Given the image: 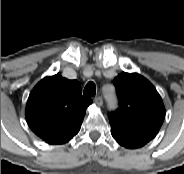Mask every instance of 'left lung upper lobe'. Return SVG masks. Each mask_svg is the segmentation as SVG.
<instances>
[{"mask_svg":"<svg viewBox=\"0 0 184 174\" xmlns=\"http://www.w3.org/2000/svg\"><path fill=\"white\" fill-rule=\"evenodd\" d=\"M113 83L119 108L109 113L111 128L131 136L153 139L165 118V107L155 87L137 73H121Z\"/></svg>","mask_w":184,"mask_h":174,"instance_id":"5c2ea615","label":"left lung upper lobe"}]
</instances>
